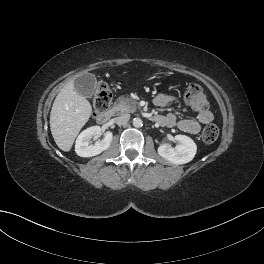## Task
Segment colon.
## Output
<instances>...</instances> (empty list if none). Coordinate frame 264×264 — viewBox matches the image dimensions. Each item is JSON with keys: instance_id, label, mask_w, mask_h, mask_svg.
Here are the masks:
<instances>
[{"instance_id": "obj_1", "label": "colon", "mask_w": 264, "mask_h": 264, "mask_svg": "<svg viewBox=\"0 0 264 264\" xmlns=\"http://www.w3.org/2000/svg\"><path fill=\"white\" fill-rule=\"evenodd\" d=\"M112 93L109 87L105 84H100L96 90L94 97L95 113H99L110 105ZM184 101L191 106L195 111L203 112L208 109V101L203 89L192 84L188 87L184 95ZM219 129L215 124H208L202 131V139L206 143H212L217 140Z\"/></svg>"}]
</instances>
